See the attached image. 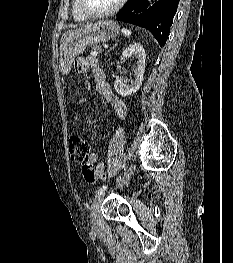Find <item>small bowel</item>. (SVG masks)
<instances>
[{
  "instance_id": "small-bowel-1",
  "label": "small bowel",
  "mask_w": 233,
  "mask_h": 263,
  "mask_svg": "<svg viewBox=\"0 0 233 263\" xmlns=\"http://www.w3.org/2000/svg\"><path fill=\"white\" fill-rule=\"evenodd\" d=\"M73 70L77 74H84L92 70L97 82V90L104 97L108 107L113 111L120 121H124L127 115V108L123 100L114 93L110 84L106 80L104 72L100 69L98 61L93 57H80L74 62ZM97 162L96 153H91L88 157V164L93 168ZM96 169H104V164L99 162Z\"/></svg>"
}]
</instances>
